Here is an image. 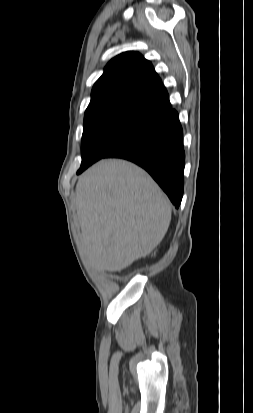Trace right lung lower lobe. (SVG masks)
<instances>
[{
  "mask_svg": "<svg viewBox=\"0 0 253 413\" xmlns=\"http://www.w3.org/2000/svg\"><path fill=\"white\" fill-rule=\"evenodd\" d=\"M104 158H122L141 166L164 190L175 207L180 206L184 187L185 153L183 130L175 110L169 111L154 126L114 149Z\"/></svg>",
  "mask_w": 253,
  "mask_h": 413,
  "instance_id": "1",
  "label": "right lung lower lobe"
}]
</instances>
